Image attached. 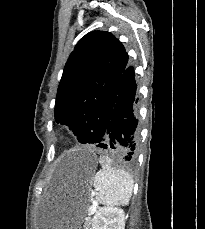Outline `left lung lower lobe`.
Returning <instances> with one entry per match:
<instances>
[{
  "label": "left lung lower lobe",
  "mask_w": 205,
  "mask_h": 229,
  "mask_svg": "<svg viewBox=\"0 0 205 229\" xmlns=\"http://www.w3.org/2000/svg\"><path fill=\"white\" fill-rule=\"evenodd\" d=\"M134 75V68L126 66L110 92L103 123L86 131L89 132L88 143L111 150L129 163L136 158L139 134Z\"/></svg>",
  "instance_id": "1"
}]
</instances>
